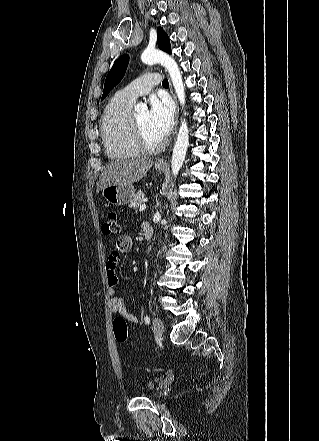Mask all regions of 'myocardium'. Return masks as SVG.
Listing matches in <instances>:
<instances>
[{
  "instance_id": "myocardium-1",
  "label": "myocardium",
  "mask_w": 319,
  "mask_h": 441,
  "mask_svg": "<svg viewBox=\"0 0 319 441\" xmlns=\"http://www.w3.org/2000/svg\"><path fill=\"white\" fill-rule=\"evenodd\" d=\"M131 127H132V134H133V139H134L135 145L137 146V148L139 149L140 152H142V153H156L164 148V146H165L164 140H161L160 142H158L156 144H151L145 139V137L142 133V130L136 120V117L133 115L131 117Z\"/></svg>"
}]
</instances>
